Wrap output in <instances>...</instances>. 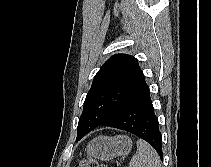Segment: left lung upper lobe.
<instances>
[{
    "mask_svg": "<svg viewBox=\"0 0 211 167\" xmlns=\"http://www.w3.org/2000/svg\"><path fill=\"white\" fill-rule=\"evenodd\" d=\"M147 87L138 60L130 55L110 57L94 77L79 118L77 140L111 120Z\"/></svg>",
    "mask_w": 211,
    "mask_h": 167,
    "instance_id": "1",
    "label": "left lung upper lobe"
}]
</instances>
